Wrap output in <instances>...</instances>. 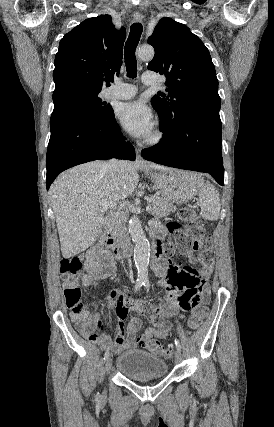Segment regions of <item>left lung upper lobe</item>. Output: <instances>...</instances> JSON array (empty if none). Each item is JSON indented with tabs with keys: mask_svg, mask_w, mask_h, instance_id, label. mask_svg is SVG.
<instances>
[{
	"mask_svg": "<svg viewBox=\"0 0 274 427\" xmlns=\"http://www.w3.org/2000/svg\"><path fill=\"white\" fill-rule=\"evenodd\" d=\"M147 42L155 49L148 69L166 76V92L151 100L163 130L170 131L190 114L219 116L218 79L204 43L170 18L159 21Z\"/></svg>",
	"mask_w": 274,
	"mask_h": 427,
	"instance_id": "left-lung-upper-lobe-1",
	"label": "left lung upper lobe"
}]
</instances>
